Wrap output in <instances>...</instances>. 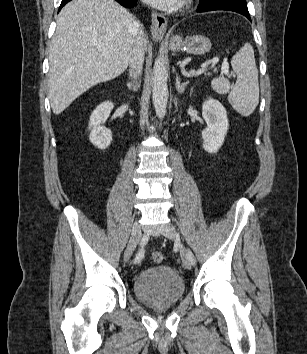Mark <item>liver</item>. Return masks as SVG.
<instances>
[{
	"instance_id": "liver-1",
	"label": "liver",
	"mask_w": 307,
	"mask_h": 354,
	"mask_svg": "<svg viewBox=\"0 0 307 354\" xmlns=\"http://www.w3.org/2000/svg\"><path fill=\"white\" fill-rule=\"evenodd\" d=\"M56 23L48 87L52 111L58 115L88 89L127 69L138 22L114 0H73L62 8ZM99 46L109 55L103 56Z\"/></svg>"
}]
</instances>
